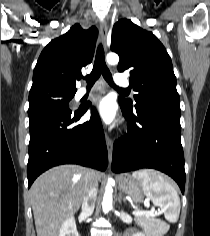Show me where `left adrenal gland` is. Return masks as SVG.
Listing matches in <instances>:
<instances>
[{
    "label": "left adrenal gland",
    "instance_id": "left-adrenal-gland-1",
    "mask_svg": "<svg viewBox=\"0 0 210 236\" xmlns=\"http://www.w3.org/2000/svg\"><path fill=\"white\" fill-rule=\"evenodd\" d=\"M122 197H123V196H122V193L120 192V193H119V198H118V201H119L120 203H121V201H122ZM123 201L125 202V199H123Z\"/></svg>",
    "mask_w": 210,
    "mask_h": 236
}]
</instances>
